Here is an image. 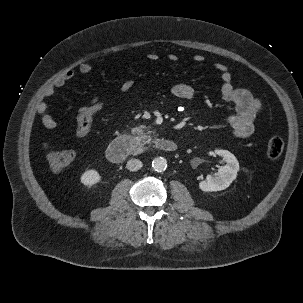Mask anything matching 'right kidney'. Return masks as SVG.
<instances>
[{
    "mask_svg": "<svg viewBox=\"0 0 303 303\" xmlns=\"http://www.w3.org/2000/svg\"><path fill=\"white\" fill-rule=\"evenodd\" d=\"M100 175L99 173L94 170H87L85 171L81 177H80V181L81 183L87 187V188H91L92 186H94L95 184H97L100 181Z\"/></svg>",
    "mask_w": 303,
    "mask_h": 303,
    "instance_id": "right-kidney-1",
    "label": "right kidney"
}]
</instances>
